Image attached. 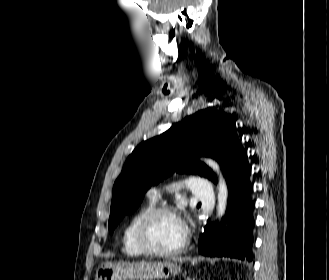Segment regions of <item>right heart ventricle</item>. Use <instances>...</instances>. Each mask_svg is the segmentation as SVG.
Wrapping results in <instances>:
<instances>
[{"instance_id": "right-heart-ventricle-1", "label": "right heart ventricle", "mask_w": 329, "mask_h": 280, "mask_svg": "<svg viewBox=\"0 0 329 280\" xmlns=\"http://www.w3.org/2000/svg\"><path fill=\"white\" fill-rule=\"evenodd\" d=\"M153 207L154 200L149 199L148 203L139 208L125 225L122 232V250L127 256L139 257L145 254L136 242L135 230L140 219Z\"/></svg>"}]
</instances>
